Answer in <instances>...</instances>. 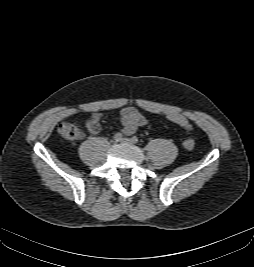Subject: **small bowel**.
I'll return each instance as SVG.
<instances>
[{
	"label": "small bowel",
	"instance_id": "1",
	"mask_svg": "<svg viewBox=\"0 0 254 267\" xmlns=\"http://www.w3.org/2000/svg\"><path fill=\"white\" fill-rule=\"evenodd\" d=\"M121 118V131L125 135L133 134L139 127L147 123V119L135 108L126 107L117 111ZM103 111L96 110L91 114L89 132L97 134L99 132V120L103 117Z\"/></svg>",
	"mask_w": 254,
	"mask_h": 267
}]
</instances>
